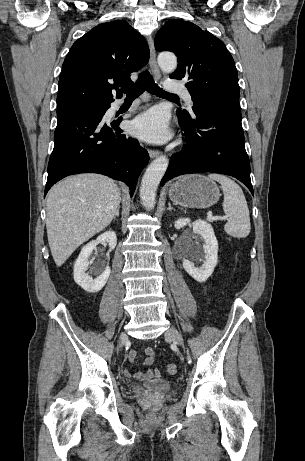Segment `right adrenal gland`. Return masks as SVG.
Instances as JSON below:
<instances>
[{
  "instance_id": "1",
  "label": "right adrenal gland",
  "mask_w": 305,
  "mask_h": 461,
  "mask_svg": "<svg viewBox=\"0 0 305 461\" xmlns=\"http://www.w3.org/2000/svg\"><path fill=\"white\" fill-rule=\"evenodd\" d=\"M119 210H120V206L117 207L116 212L113 216V220H116V217H119Z\"/></svg>"
}]
</instances>
